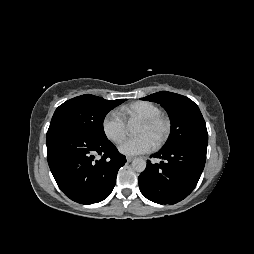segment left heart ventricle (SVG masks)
<instances>
[{"instance_id": "1", "label": "left heart ventricle", "mask_w": 254, "mask_h": 254, "mask_svg": "<svg viewBox=\"0 0 254 254\" xmlns=\"http://www.w3.org/2000/svg\"><path fill=\"white\" fill-rule=\"evenodd\" d=\"M164 127L162 124H158L155 126H148L143 123H140L137 134L138 135H147L149 136L154 142H156L163 134Z\"/></svg>"}]
</instances>
